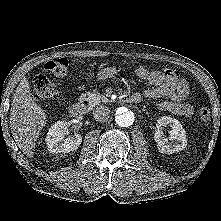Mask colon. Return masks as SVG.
Listing matches in <instances>:
<instances>
[{
  "label": "colon",
  "instance_id": "obj_1",
  "mask_svg": "<svg viewBox=\"0 0 221 221\" xmlns=\"http://www.w3.org/2000/svg\"><path fill=\"white\" fill-rule=\"evenodd\" d=\"M69 62L65 58L47 61L44 68L58 77L66 75ZM34 97L40 100H55L59 96V90L45 75H37L32 80ZM198 121L203 127H207L211 120L208 107L201 106L197 112Z\"/></svg>",
  "mask_w": 221,
  "mask_h": 221
}]
</instances>
